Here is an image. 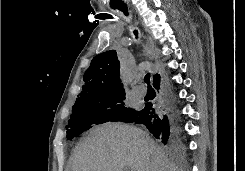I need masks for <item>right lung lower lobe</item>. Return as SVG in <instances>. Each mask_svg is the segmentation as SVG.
I'll return each mask as SVG.
<instances>
[{
    "label": "right lung lower lobe",
    "instance_id": "right-lung-lower-lobe-1",
    "mask_svg": "<svg viewBox=\"0 0 245 171\" xmlns=\"http://www.w3.org/2000/svg\"><path fill=\"white\" fill-rule=\"evenodd\" d=\"M153 86L157 90L160 89L161 105L158 107L147 103L131 122L146 125L154 137L164 145L174 146L180 138L181 128L173 91L168 84L160 83V76L153 82Z\"/></svg>",
    "mask_w": 245,
    "mask_h": 171
}]
</instances>
